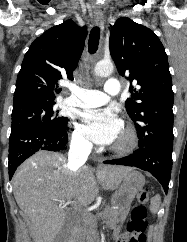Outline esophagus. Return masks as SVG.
<instances>
[{"instance_id":"34e87169","label":"esophagus","mask_w":187,"mask_h":242,"mask_svg":"<svg viewBox=\"0 0 187 242\" xmlns=\"http://www.w3.org/2000/svg\"><path fill=\"white\" fill-rule=\"evenodd\" d=\"M96 23L103 28L104 27V16L102 12H96L94 15Z\"/></svg>"}]
</instances>
